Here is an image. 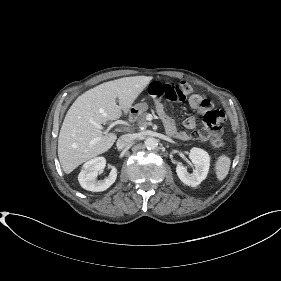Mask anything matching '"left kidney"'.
Segmentation results:
<instances>
[{
	"label": "left kidney",
	"mask_w": 281,
	"mask_h": 281,
	"mask_svg": "<svg viewBox=\"0 0 281 281\" xmlns=\"http://www.w3.org/2000/svg\"><path fill=\"white\" fill-rule=\"evenodd\" d=\"M189 158L195 166L193 172L189 173L186 167L179 162L176 166V173L184 184L196 187L207 177L210 157L205 150L194 147L190 150Z\"/></svg>",
	"instance_id": "1"
}]
</instances>
